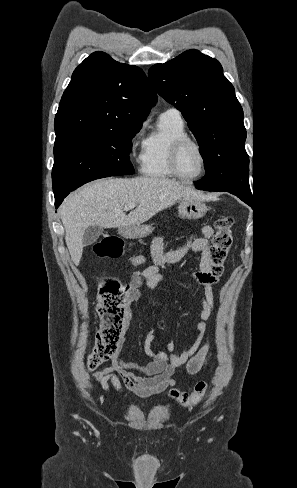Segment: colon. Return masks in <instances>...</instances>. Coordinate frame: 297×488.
<instances>
[{
    "label": "colon",
    "mask_w": 297,
    "mask_h": 488,
    "mask_svg": "<svg viewBox=\"0 0 297 488\" xmlns=\"http://www.w3.org/2000/svg\"><path fill=\"white\" fill-rule=\"evenodd\" d=\"M233 222L230 216H220L215 221L216 233L209 256V274L215 280L222 276L224 263L232 246ZM94 251L103 258H119L123 254V244L119 237L111 235L97 242ZM128 290V285H122L117 280H104L99 288L97 311L101 322L95 345L88 358V367L91 370L119 350L125 327ZM207 388L205 382H199L190 393L171 390L168 396L183 407H192L205 397Z\"/></svg>",
    "instance_id": "obj_1"
}]
</instances>
